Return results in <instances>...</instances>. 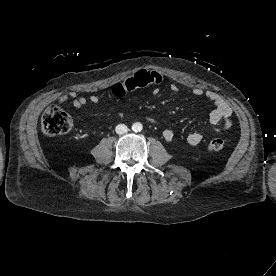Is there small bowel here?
Segmentation results:
<instances>
[{
  "instance_id": "1",
  "label": "small bowel",
  "mask_w": 276,
  "mask_h": 276,
  "mask_svg": "<svg viewBox=\"0 0 276 276\" xmlns=\"http://www.w3.org/2000/svg\"><path fill=\"white\" fill-rule=\"evenodd\" d=\"M164 83L163 75L155 70L143 69L136 72L129 79L123 83L117 84L112 89V94L115 97H123L127 93L134 91L136 89L145 88L148 86L158 87ZM169 88L177 92L179 87L176 83H169ZM191 92L194 96H206L210 99L215 109L211 112L209 117V122L215 127L217 133L222 134L228 131L233 125L232 108L230 104L218 93L211 90H204L201 87H193ZM60 104L70 102L72 106L80 108L84 106L87 102L98 103L99 97L95 94L90 95L88 98L79 97L76 92L71 91L64 95H61L58 99ZM146 120L153 124H158L155 118L147 117ZM163 137L166 141L170 142L174 139V132L171 129H166L163 131ZM203 140V135L201 133H190L186 137V141L189 145H198Z\"/></svg>"
}]
</instances>
